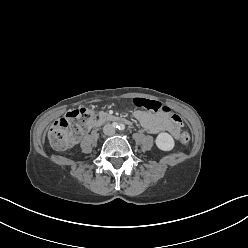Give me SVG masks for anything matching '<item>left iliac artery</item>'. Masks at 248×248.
Returning <instances> with one entry per match:
<instances>
[{
	"label": "left iliac artery",
	"mask_w": 248,
	"mask_h": 248,
	"mask_svg": "<svg viewBox=\"0 0 248 248\" xmlns=\"http://www.w3.org/2000/svg\"><path fill=\"white\" fill-rule=\"evenodd\" d=\"M120 130H124L125 129V127L122 125V126H120V128H119Z\"/></svg>",
	"instance_id": "left-iliac-artery-1"
}]
</instances>
